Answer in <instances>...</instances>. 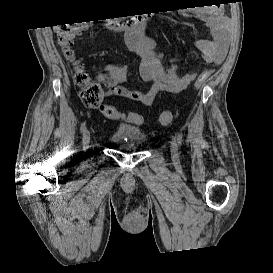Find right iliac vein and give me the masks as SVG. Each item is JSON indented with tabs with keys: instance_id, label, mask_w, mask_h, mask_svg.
Segmentation results:
<instances>
[{
	"instance_id": "right-iliac-vein-1",
	"label": "right iliac vein",
	"mask_w": 273,
	"mask_h": 273,
	"mask_svg": "<svg viewBox=\"0 0 273 273\" xmlns=\"http://www.w3.org/2000/svg\"><path fill=\"white\" fill-rule=\"evenodd\" d=\"M89 143H90V132L89 130H85L83 133V139H82L83 148L87 149L89 147Z\"/></svg>"
}]
</instances>
